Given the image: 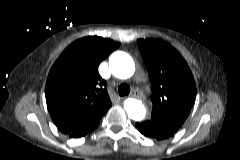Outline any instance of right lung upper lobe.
<instances>
[{
    "mask_svg": "<svg viewBox=\"0 0 240 160\" xmlns=\"http://www.w3.org/2000/svg\"><path fill=\"white\" fill-rule=\"evenodd\" d=\"M119 45L98 36L84 37L69 45L52 66L45 96L52 120L62 133L101 119L110 108L98 66Z\"/></svg>",
    "mask_w": 240,
    "mask_h": 160,
    "instance_id": "right-lung-upper-lobe-1",
    "label": "right lung upper lobe"
}]
</instances>
